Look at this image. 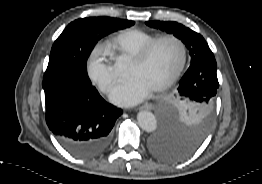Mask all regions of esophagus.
<instances>
[{
  "label": "esophagus",
  "mask_w": 262,
  "mask_h": 184,
  "mask_svg": "<svg viewBox=\"0 0 262 184\" xmlns=\"http://www.w3.org/2000/svg\"><path fill=\"white\" fill-rule=\"evenodd\" d=\"M154 107L155 106L152 103H145V104L139 106L138 109H140V110H153Z\"/></svg>",
  "instance_id": "1"
}]
</instances>
